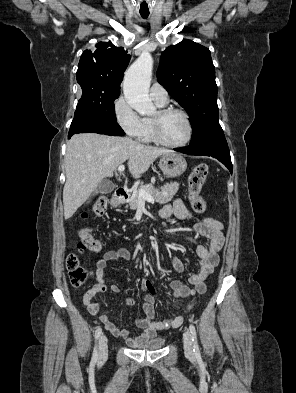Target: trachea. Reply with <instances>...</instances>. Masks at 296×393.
I'll return each mask as SVG.
<instances>
[{
    "instance_id": "trachea-1",
    "label": "trachea",
    "mask_w": 296,
    "mask_h": 393,
    "mask_svg": "<svg viewBox=\"0 0 296 393\" xmlns=\"http://www.w3.org/2000/svg\"><path fill=\"white\" fill-rule=\"evenodd\" d=\"M142 18H147L149 16V12L142 13L140 12Z\"/></svg>"
}]
</instances>
